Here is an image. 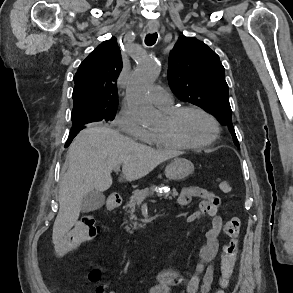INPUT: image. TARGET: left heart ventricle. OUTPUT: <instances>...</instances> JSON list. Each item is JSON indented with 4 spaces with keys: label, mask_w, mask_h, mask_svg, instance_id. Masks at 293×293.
<instances>
[{
    "label": "left heart ventricle",
    "mask_w": 293,
    "mask_h": 293,
    "mask_svg": "<svg viewBox=\"0 0 293 293\" xmlns=\"http://www.w3.org/2000/svg\"><path fill=\"white\" fill-rule=\"evenodd\" d=\"M170 127L169 120L166 118L160 132ZM176 132L187 142L202 143L208 140L213 133V127L209 120L197 112H187L181 116L175 125Z\"/></svg>",
    "instance_id": "1"
}]
</instances>
